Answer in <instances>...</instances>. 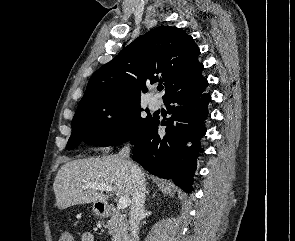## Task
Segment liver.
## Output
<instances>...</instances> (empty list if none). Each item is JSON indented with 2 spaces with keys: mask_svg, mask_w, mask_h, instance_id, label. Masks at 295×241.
Wrapping results in <instances>:
<instances>
[{
  "mask_svg": "<svg viewBox=\"0 0 295 241\" xmlns=\"http://www.w3.org/2000/svg\"><path fill=\"white\" fill-rule=\"evenodd\" d=\"M88 184H105L113 187L118 197L132 196L133 183L127 162L119 155L88 158L66 162L59 169L53 183L56 205L65 209L77 204L105 203L108 195Z\"/></svg>",
  "mask_w": 295,
  "mask_h": 241,
  "instance_id": "6515ba94",
  "label": "liver"
}]
</instances>
